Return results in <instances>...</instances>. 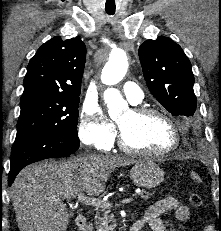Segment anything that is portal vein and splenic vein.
<instances>
[{"mask_svg": "<svg viewBox=\"0 0 221 231\" xmlns=\"http://www.w3.org/2000/svg\"><path fill=\"white\" fill-rule=\"evenodd\" d=\"M133 200H134V196H129V197L123 198L120 201V203L127 204V203L132 202ZM77 202L83 203L85 205H93V206L101 207V208L103 207L110 208L112 205L109 202H105L97 198H90V197L84 196L82 193L77 194Z\"/></svg>", "mask_w": 221, "mask_h": 231, "instance_id": "18ae733b", "label": "portal vein and splenic vein"}]
</instances>
